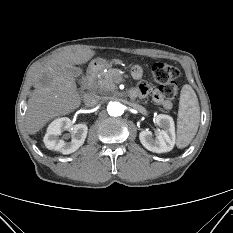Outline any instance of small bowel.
Listing matches in <instances>:
<instances>
[{"instance_id":"obj_1","label":"small bowel","mask_w":233,"mask_h":233,"mask_svg":"<svg viewBox=\"0 0 233 233\" xmlns=\"http://www.w3.org/2000/svg\"><path fill=\"white\" fill-rule=\"evenodd\" d=\"M132 76L135 79H140L142 77V69L139 66H134L132 68ZM133 97H145L149 94L152 95L153 101L161 106L162 108L168 110L172 107V103L171 101L167 100L164 98L161 90L159 88H152L149 85L145 84V83H141L138 87H136L135 89H133L131 91V95H133Z\"/></svg>"}]
</instances>
